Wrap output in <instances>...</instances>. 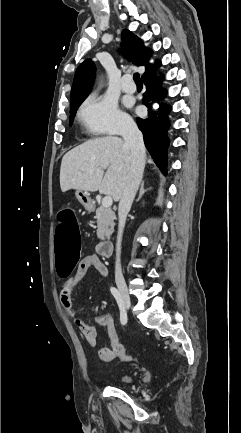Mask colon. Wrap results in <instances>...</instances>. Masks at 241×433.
I'll return each instance as SVG.
<instances>
[{"label": "colon", "instance_id": "5ec220e1", "mask_svg": "<svg viewBox=\"0 0 241 433\" xmlns=\"http://www.w3.org/2000/svg\"><path fill=\"white\" fill-rule=\"evenodd\" d=\"M73 205H64L63 212H55L54 225V252H57L55 259V272H60L62 276L69 272H74L76 261L79 260L80 249V220H77ZM115 357L130 361L131 357L126 354L123 345L118 341L112 345Z\"/></svg>", "mask_w": 241, "mask_h": 433}]
</instances>
